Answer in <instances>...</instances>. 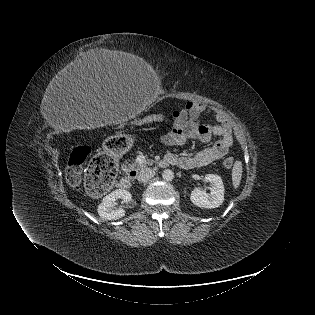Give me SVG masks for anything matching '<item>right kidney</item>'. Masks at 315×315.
<instances>
[{
  "label": "right kidney",
  "instance_id": "obj_1",
  "mask_svg": "<svg viewBox=\"0 0 315 315\" xmlns=\"http://www.w3.org/2000/svg\"><path fill=\"white\" fill-rule=\"evenodd\" d=\"M117 199H122L123 203L130 202L132 195L128 190L117 189L102 199L98 206V214L104 220H117L125 215V210L114 209L113 205Z\"/></svg>",
  "mask_w": 315,
  "mask_h": 315
}]
</instances>
